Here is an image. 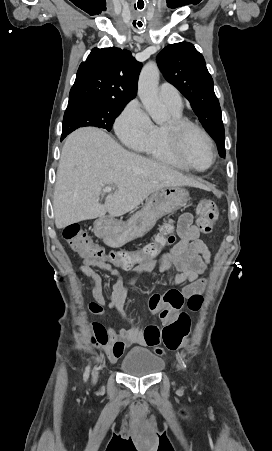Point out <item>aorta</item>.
Returning a JSON list of instances; mask_svg holds the SVG:
<instances>
[{
	"label": "aorta",
	"mask_w": 272,
	"mask_h": 451,
	"mask_svg": "<svg viewBox=\"0 0 272 451\" xmlns=\"http://www.w3.org/2000/svg\"><path fill=\"white\" fill-rule=\"evenodd\" d=\"M160 72L156 62H148L141 70L138 82V96L149 116L156 124L167 122V114H163L158 98Z\"/></svg>",
	"instance_id": "obj_1"
}]
</instances>
